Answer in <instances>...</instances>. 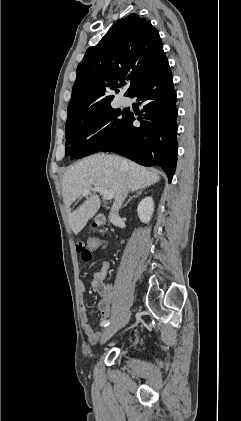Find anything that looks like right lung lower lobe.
Instances as JSON below:
<instances>
[{
    "label": "right lung lower lobe",
    "instance_id": "obj_1",
    "mask_svg": "<svg viewBox=\"0 0 241 421\" xmlns=\"http://www.w3.org/2000/svg\"><path fill=\"white\" fill-rule=\"evenodd\" d=\"M130 97L144 104L140 127L132 113L124 130L102 152H115L143 166H160L171 182L177 162L176 92L167 57L137 86Z\"/></svg>",
    "mask_w": 241,
    "mask_h": 421
}]
</instances>
